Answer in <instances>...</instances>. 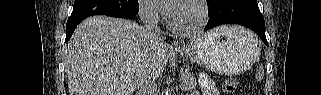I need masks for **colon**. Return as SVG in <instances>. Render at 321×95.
Returning a JSON list of instances; mask_svg holds the SVG:
<instances>
[{
  "label": "colon",
  "mask_w": 321,
  "mask_h": 95,
  "mask_svg": "<svg viewBox=\"0 0 321 95\" xmlns=\"http://www.w3.org/2000/svg\"><path fill=\"white\" fill-rule=\"evenodd\" d=\"M238 85V80L236 78H228L222 85V90L224 93H233Z\"/></svg>",
  "instance_id": "colon-1"
}]
</instances>
